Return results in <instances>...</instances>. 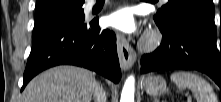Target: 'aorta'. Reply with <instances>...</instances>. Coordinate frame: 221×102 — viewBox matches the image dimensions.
Wrapping results in <instances>:
<instances>
[{
    "mask_svg": "<svg viewBox=\"0 0 221 102\" xmlns=\"http://www.w3.org/2000/svg\"><path fill=\"white\" fill-rule=\"evenodd\" d=\"M135 78L130 75L123 86L120 102H134Z\"/></svg>",
    "mask_w": 221,
    "mask_h": 102,
    "instance_id": "obj_1",
    "label": "aorta"
}]
</instances>
